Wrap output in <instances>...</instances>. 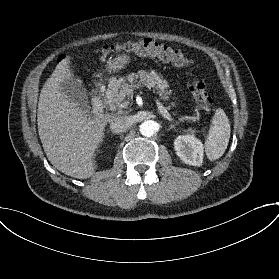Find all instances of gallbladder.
<instances>
[{"label":"gallbladder","mask_w":279,"mask_h":279,"mask_svg":"<svg viewBox=\"0 0 279 279\" xmlns=\"http://www.w3.org/2000/svg\"><path fill=\"white\" fill-rule=\"evenodd\" d=\"M61 92L68 100L75 103L83 111L90 110L87 89L83 85L82 80L71 78L61 83Z\"/></svg>","instance_id":"obj_1"}]
</instances>
